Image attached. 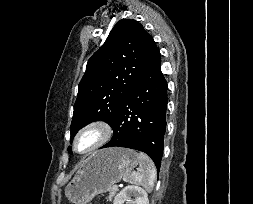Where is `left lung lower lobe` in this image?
I'll return each instance as SVG.
<instances>
[{
    "label": "left lung lower lobe",
    "instance_id": "0a47b994",
    "mask_svg": "<svg viewBox=\"0 0 253 204\" xmlns=\"http://www.w3.org/2000/svg\"><path fill=\"white\" fill-rule=\"evenodd\" d=\"M156 48L138 82L122 104L111 127L114 135L106 147H126L148 154L159 170L164 148L167 82Z\"/></svg>",
    "mask_w": 253,
    "mask_h": 204
}]
</instances>
